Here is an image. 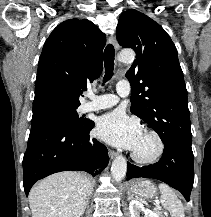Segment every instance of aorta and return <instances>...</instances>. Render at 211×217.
<instances>
[{
    "mask_svg": "<svg viewBox=\"0 0 211 217\" xmlns=\"http://www.w3.org/2000/svg\"><path fill=\"white\" fill-rule=\"evenodd\" d=\"M135 59V53L131 50L121 51L118 56V61L122 63H132ZM127 171V163L123 156H117L112 162L111 173L115 181H121Z\"/></svg>",
    "mask_w": 211,
    "mask_h": 217,
    "instance_id": "762f6f07",
    "label": "aorta"
}]
</instances>
